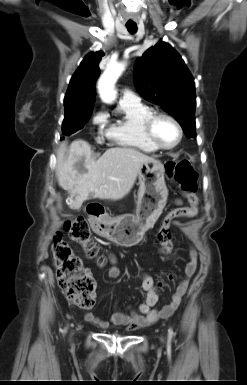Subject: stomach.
<instances>
[{"mask_svg": "<svg viewBox=\"0 0 247 385\" xmlns=\"http://www.w3.org/2000/svg\"><path fill=\"white\" fill-rule=\"evenodd\" d=\"M164 165L155 159L144 162L138 172L136 216H121L105 223L102 235L124 247L137 245L161 215L168 197Z\"/></svg>", "mask_w": 247, "mask_h": 385, "instance_id": "1", "label": "stomach"}]
</instances>
